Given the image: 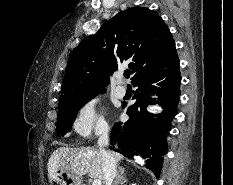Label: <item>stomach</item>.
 <instances>
[{
    "label": "stomach",
    "instance_id": "1",
    "mask_svg": "<svg viewBox=\"0 0 233 185\" xmlns=\"http://www.w3.org/2000/svg\"><path fill=\"white\" fill-rule=\"evenodd\" d=\"M54 181L59 185H81V178L70 172L59 170L54 176Z\"/></svg>",
    "mask_w": 233,
    "mask_h": 185
}]
</instances>
